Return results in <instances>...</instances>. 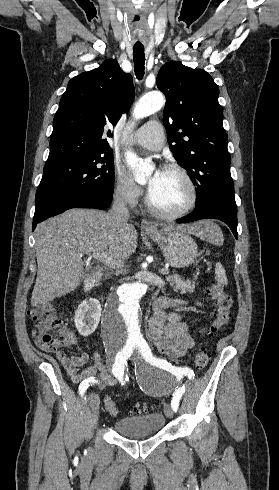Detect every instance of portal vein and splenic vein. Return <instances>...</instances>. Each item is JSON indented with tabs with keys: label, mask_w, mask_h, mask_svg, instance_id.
I'll return each mask as SVG.
<instances>
[{
	"label": "portal vein and splenic vein",
	"mask_w": 279,
	"mask_h": 490,
	"mask_svg": "<svg viewBox=\"0 0 279 490\" xmlns=\"http://www.w3.org/2000/svg\"><path fill=\"white\" fill-rule=\"evenodd\" d=\"M97 260H100V262H103L105 266H109V268H117V266H122V264H115L113 262L112 258H108L107 254H100V256H97ZM161 274H168V268H163V270H160Z\"/></svg>",
	"instance_id": "obj_1"
}]
</instances>
